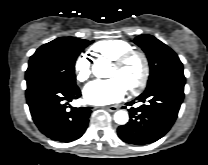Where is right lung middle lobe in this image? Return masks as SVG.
Here are the masks:
<instances>
[{
	"mask_svg": "<svg viewBox=\"0 0 208 165\" xmlns=\"http://www.w3.org/2000/svg\"><path fill=\"white\" fill-rule=\"evenodd\" d=\"M91 43L74 37H60L42 45L30 57L25 75L27 90L46 82L75 86L76 58Z\"/></svg>",
	"mask_w": 208,
	"mask_h": 165,
	"instance_id": "1",
	"label": "right lung middle lobe"
}]
</instances>
